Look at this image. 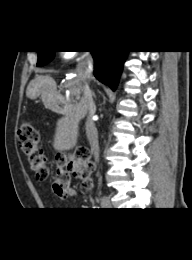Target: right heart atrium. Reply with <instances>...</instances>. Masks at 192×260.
<instances>
[{
  "label": "right heart atrium",
  "mask_w": 192,
  "mask_h": 260,
  "mask_svg": "<svg viewBox=\"0 0 192 260\" xmlns=\"http://www.w3.org/2000/svg\"><path fill=\"white\" fill-rule=\"evenodd\" d=\"M62 57H63L64 59H70L71 57H73V53H72V52H64V53L62 54Z\"/></svg>",
  "instance_id": "obj_1"
}]
</instances>
